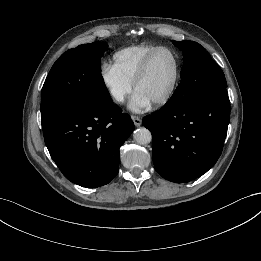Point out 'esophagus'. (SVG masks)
Listing matches in <instances>:
<instances>
[{
	"label": "esophagus",
	"instance_id": "esophagus-1",
	"mask_svg": "<svg viewBox=\"0 0 261 261\" xmlns=\"http://www.w3.org/2000/svg\"><path fill=\"white\" fill-rule=\"evenodd\" d=\"M131 118H132L135 126L139 127L142 124V120L140 117L132 115Z\"/></svg>",
	"mask_w": 261,
	"mask_h": 261
}]
</instances>
